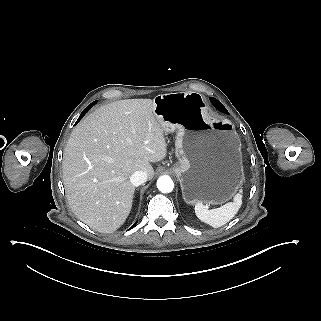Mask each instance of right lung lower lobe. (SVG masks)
<instances>
[{
  "instance_id": "right-lung-lower-lobe-1",
  "label": "right lung lower lobe",
  "mask_w": 321,
  "mask_h": 321,
  "mask_svg": "<svg viewBox=\"0 0 321 321\" xmlns=\"http://www.w3.org/2000/svg\"><path fill=\"white\" fill-rule=\"evenodd\" d=\"M96 102H97V101L92 102L89 106H87V107L82 111V113L80 114L77 122L80 121V120L83 118V116L86 114V112H87ZM77 122H76V123H77ZM135 225H136V223H135L130 229H132Z\"/></svg>"
}]
</instances>
